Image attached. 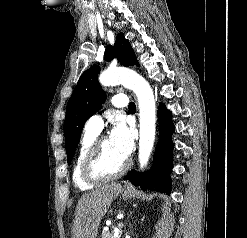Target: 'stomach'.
I'll list each match as a JSON object with an SVG mask.
<instances>
[{"instance_id":"0dacf381","label":"stomach","mask_w":247,"mask_h":238,"mask_svg":"<svg viewBox=\"0 0 247 238\" xmlns=\"http://www.w3.org/2000/svg\"><path fill=\"white\" fill-rule=\"evenodd\" d=\"M121 196L124 200H128L131 197V193L129 191L124 190Z\"/></svg>"}]
</instances>
